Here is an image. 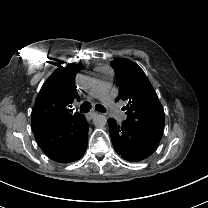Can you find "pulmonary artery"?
Here are the masks:
<instances>
[{
	"label": "pulmonary artery",
	"instance_id": "pulmonary-artery-1",
	"mask_svg": "<svg viewBox=\"0 0 208 208\" xmlns=\"http://www.w3.org/2000/svg\"><path fill=\"white\" fill-rule=\"evenodd\" d=\"M112 74V70L109 66H99L94 69V78L92 87L89 90V96L93 98L99 97L101 101L106 105L109 111H111L118 122H122L126 119V115L122 114L120 109L114 104L105 92L108 89V80ZM89 99L84 97L82 100L78 99L76 104L81 106L83 103L87 104Z\"/></svg>",
	"mask_w": 208,
	"mask_h": 208
}]
</instances>
